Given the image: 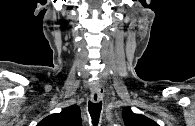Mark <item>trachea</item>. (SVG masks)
<instances>
[{"mask_svg":"<svg viewBox=\"0 0 195 126\" xmlns=\"http://www.w3.org/2000/svg\"><path fill=\"white\" fill-rule=\"evenodd\" d=\"M101 109H102V103L101 102L93 103V102L89 101L88 110H89V114L91 116L93 125L98 124Z\"/></svg>","mask_w":195,"mask_h":126,"instance_id":"obj_1","label":"trachea"}]
</instances>
